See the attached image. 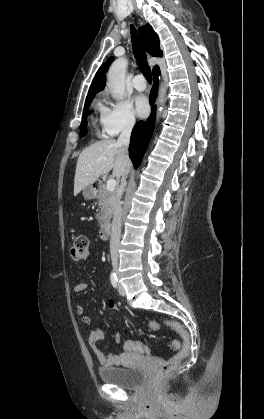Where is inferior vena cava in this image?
<instances>
[{
  "label": "inferior vena cava",
  "instance_id": "obj_1",
  "mask_svg": "<svg viewBox=\"0 0 264 419\" xmlns=\"http://www.w3.org/2000/svg\"><path fill=\"white\" fill-rule=\"evenodd\" d=\"M134 124H135L134 118L127 120L117 140V144L122 148V150L126 154H128V146L130 142L131 131L134 127ZM126 176L127 174L122 176L121 190L118 194L117 202L114 207V217L112 221L110 253H111L112 266L114 269H117V266H118V248L120 245L121 220H122V214H123V210L120 203V198L123 194L124 187L126 186Z\"/></svg>",
  "mask_w": 264,
  "mask_h": 419
}]
</instances>
